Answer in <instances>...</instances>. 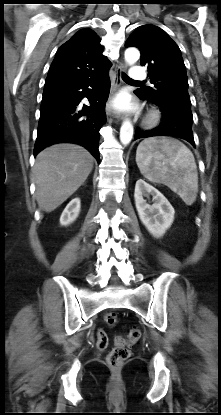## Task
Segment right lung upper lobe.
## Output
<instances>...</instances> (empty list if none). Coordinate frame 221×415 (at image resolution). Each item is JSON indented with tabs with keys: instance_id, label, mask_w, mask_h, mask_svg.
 Wrapping results in <instances>:
<instances>
[{
	"instance_id": "cb5924a9",
	"label": "right lung upper lobe",
	"mask_w": 221,
	"mask_h": 415,
	"mask_svg": "<svg viewBox=\"0 0 221 415\" xmlns=\"http://www.w3.org/2000/svg\"><path fill=\"white\" fill-rule=\"evenodd\" d=\"M100 39L90 29L78 31L60 46L50 66L45 87L101 76L111 67Z\"/></svg>"
}]
</instances>
